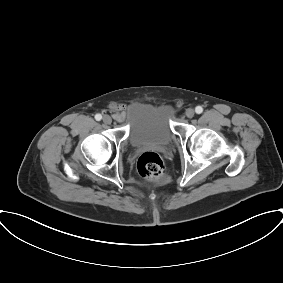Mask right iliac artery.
Here are the masks:
<instances>
[{"label": "right iliac artery", "mask_w": 283, "mask_h": 283, "mask_svg": "<svg viewBox=\"0 0 283 283\" xmlns=\"http://www.w3.org/2000/svg\"><path fill=\"white\" fill-rule=\"evenodd\" d=\"M95 119H96L97 121H100V120L102 119L101 114H96V115H95Z\"/></svg>", "instance_id": "1"}]
</instances>
